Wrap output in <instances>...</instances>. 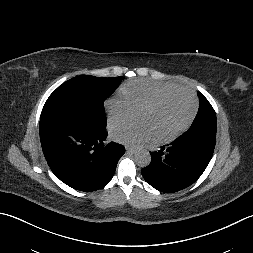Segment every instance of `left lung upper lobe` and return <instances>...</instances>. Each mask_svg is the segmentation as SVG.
Returning <instances> with one entry per match:
<instances>
[{
	"label": "left lung upper lobe",
	"mask_w": 253,
	"mask_h": 253,
	"mask_svg": "<svg viewBox=\"0 0 253 253\" xmlns=\"http://www.w3.org/2000/svg\"><path fill=\"white\" fill-rule=\"evenodd\" d=\"M200 106L191 127L177 139L198 140L214 149L216 143L217 119L209 101L198 92Z\"/></svg>",
	"instance_id": "1"
}]
</instances>
